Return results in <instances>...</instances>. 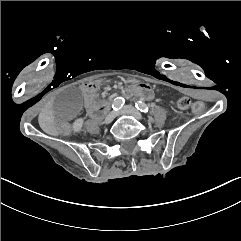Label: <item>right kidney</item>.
Wrapping results in <instances>:
<instances>
[{
  "instance_id": "obj_1",
  "label": "right kidney",
  "mask_w": 241,
  "mask_h": 241,
  "mask_svg": "<svg viewBox=\"0 0 241 241\" xmlns=\"http://www.w3.org/2000/svg\"><path fill=\"white\" fill-rule=\"evenodd\" d=\"M85 123V119L83 117L76 118L71 126V129L74 134H80L82 132L83 126Z\"/></svg>"
}]
</instances>
